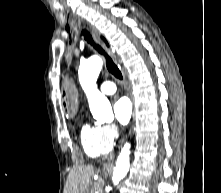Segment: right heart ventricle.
Listing matches in <instances>:
<instances>
[{
  "instance_id": "e07e8e85",
  "label": "right heart ventricle",
  "mask_w": 221,
  "mask_h": 193,
  "mask_svg": "<svg viewBox=\"0 0 221 193\" xmlns=\"http://www.w3.org/2000/svg\"><path fill=\"white\" fill-rule=\"evenodd\" d=\"M80 142L86 155L92 158L108 154L113 149V143L103 136L102 126L89 122L82 125Z\"/></svg>"
}]
</instances>
